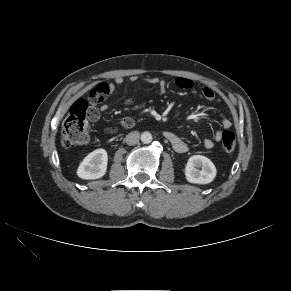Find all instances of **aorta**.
<instances>
[{
	"instance_id": "obj_1",
	"label": "aorta",
	"mask_w": 291,
	"mask_h": 291,
	"mask_svg": "<svg viewBox=\"0 0 291 291\" xmlns=\"http://www.w3.org/2000/svg\"><path fill=\"white\" fill-rule=\"evenodd\" d=\"M141 141L144 144H149L152 141V134L150 132H143L141 134Z\"/></svg>"
}]
</instances>
